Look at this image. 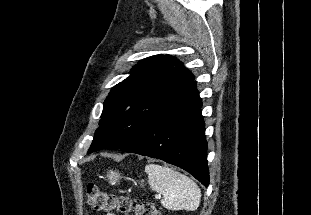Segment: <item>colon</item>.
Segmentation results:
<instances>
[{"label":"colon","instance_id":"obj_1","mask_svg":"<svg viewBox=\"0 0 311 215\" xmlns=\"http://www.w3.org/2000/svg\"><path fill=\"white\" fill-rule=\"evenodd\" d=\"M88 204L99 212L117 211L121 215H158L155 206L147 201L134 202L126 196L107 193L94 183L87 185Z\"/></svg>","mask_w":311,"mask_h":215}]
</instances>
